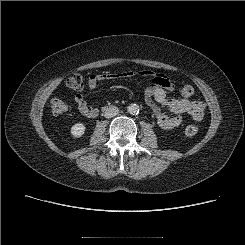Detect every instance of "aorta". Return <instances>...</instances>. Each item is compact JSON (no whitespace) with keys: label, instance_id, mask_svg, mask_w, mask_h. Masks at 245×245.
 <instances>
[{"label":"aorta","instance_id":"obj_1","mask_svg":"<svg viewBox=\"0 0 245 245\" xmlns=\"http://www.w3.org/2000/svg\"><path fill=\"white\" fill-rule=\"evenodd\" d=\"M128 112L132 115L139 113V106L137 104H130L128 106Z\"/></svg>","mask_w":245,"mask_h":245}]
</instances>
